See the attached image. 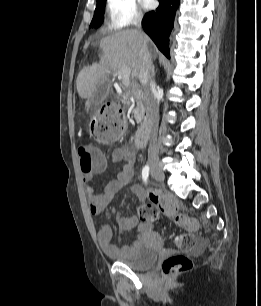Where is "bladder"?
<instances>
[{
	"label": "bladder",
	"instance_id": "1",
	"mask_svg": "<svg viewBox=\"0 0 261 306\" xmlns=\"http://www.w3.org/2000/svg\"><path fill=\"white\" fill-rule=\"evenodd\" d=\"M155 240V241H153ZM160 240L156 235L141 237L131 247L128 256L116 257V262L134 270H144L155 264L160 252Z\"/></svg>",
	"mask_w": 261,
	"mask_h": 306
}]
</instances>
